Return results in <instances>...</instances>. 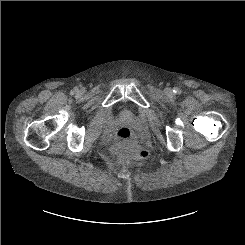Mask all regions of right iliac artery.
<instances>
[{
    "mask_svg": "<svg viewBox=\"0 0 245 245\" xmlns=\"http://www.w3.org/2000/svg\"><path fill=\"white\" fill-rule=\"evenodd\" d=\"M76 91L77 89L75 88L73 91H71V94L73 95Z\"/></svg>",
    "mask_w": 245,
    "mask_h": 245,
    "instance_id": "1",
    "label": "right iliac artery"
}]
</instances>
